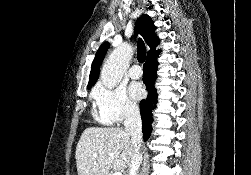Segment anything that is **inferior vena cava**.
<instances>
[{
    "instance_id": "1",
    "label": "inferior vena cava",
    "mask_w": 251,
    "mask_h": 175,
    "mask_svg": "<svg viewBox=\"0 0 251 175\" xmlns=\"http://www.w3.org/2000/svg\"><path fill=\"white\" fill-rule=\"evenodd\" d=\"M124 131L131 135L133 143V155L129 165V175H138L140 163H142V119L137 105H128L125 109Z\"/></svg>"
}]
</instances>
